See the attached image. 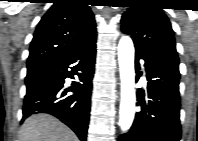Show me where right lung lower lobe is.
<instances>
[{"label": "right lung lower lobe", "mask_w": 198, "mask_h": 141, "mask_svg": "<svg viewBox=\"0 0 198 141\" xmlns=\"http://www.w3.org/2000/svg\"><path fill=\"white\" fill-rule=\"evenodd\" d=\"M95 56L96 34L67 54L27 68L22 120L32 114L49 113L68 125L81 141H85ZM75 74L82 83L73 82L71 88H65V78H74Z\"/></svg>", "instance_id": "right-lung-lower-lobe-1"}]
</instances>
